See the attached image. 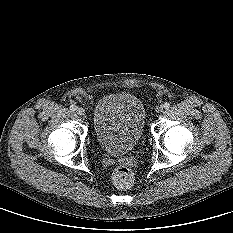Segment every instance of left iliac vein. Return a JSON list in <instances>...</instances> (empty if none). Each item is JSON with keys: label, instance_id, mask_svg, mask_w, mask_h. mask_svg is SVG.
Returning <instances> with one entry per match:
<instances>
[{"label": "left iliac vein", "instance_id": "obj_1", "mask_svg": "<svg viewBox=\"0 0 233 233\" xmlns=\"http://www.w3.org/2000/svg\"><path fill=\"white\" fill-rule=\"evenodd\" d=\"M163 109H164V105H158L157 107H156V109H155V111L157 112V113H161L162 111H163Z\"/></svg>", "mask_w": 233, "mask_h": 233}]
</instances>
